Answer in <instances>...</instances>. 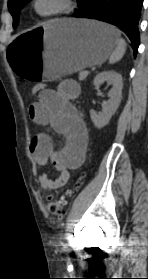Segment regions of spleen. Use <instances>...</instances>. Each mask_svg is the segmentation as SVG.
Here are the masks:
<instances>
[{
	"instance_id": "1",
	"label": "spleen",
	"mask_w": 148,
	"mask_h": 279,
	"mask_svg": "<svg viewBox=\"0 0 148 279\" xmlns=\"http://www.w3.org/2000/svg\"><path fill=\"white\" fill-rule=\"evenodd\" d=\"M126 51V42L122 38H118L116 48L112 52L109 62L111 64L118 62L122 59Z\"/></svg>"
}]
</instances>
